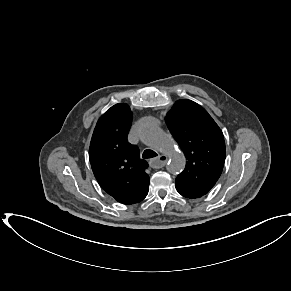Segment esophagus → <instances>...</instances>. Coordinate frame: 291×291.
<instances>
[{
	"mask_svg": "<svg viewBox=\"0 0 291 291\" xmlns=\"http://www.w3.org/2000/svg\"><path fill=\"white\" fill-rule=\"evenodd\" d=\"M168 158L166 155H158L156 158L150 160L152 168H162L166 165Z\"/></svg>",
	"mask_w": 291,
	"mask_h": 291,
	"instance_id": "esophagus-1",
	"label": "esophagus"
}]
</instances>
